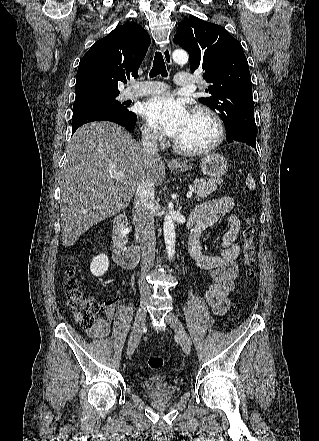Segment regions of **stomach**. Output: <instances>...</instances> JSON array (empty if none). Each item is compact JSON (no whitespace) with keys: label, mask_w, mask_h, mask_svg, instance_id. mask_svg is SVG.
<instances>
[{"label":"stomach","mask_w":319,"mask_h":441,"mask_svg":"<svg viewBox=\"0 0 319 441\" xmlns=\"http://www.w3.org/2000/svg\"><path fill=\"white\" fill-rule=\"evenodd\" d=\"M201 169L204 174L212 178H220L228 171V162L225 157L220 154L206 155L200 163ZM176 171H187L191 169V166L181 165L173 167Z\"/></svg>","instance_id":"0dacf381"}]
</instances>
